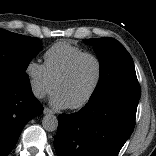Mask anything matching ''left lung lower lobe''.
<instances>
[{
    "mask_svg": "<svg viewBox=\"0 0 156 156\" xmlns=\"http://www.w3.org/2000/svg\"><path fill=\"white\" fill-rule=\"evenodd\" d=\"M140 97L114 93L77 113L60 114L54 147L58 156H117L134 129Z\"/></svg>",
    "mask_w": 156,
    "mask_h": 156,
    "instance_id": "1",
    "label": "left lung lower lobe"
}]
</instances>
